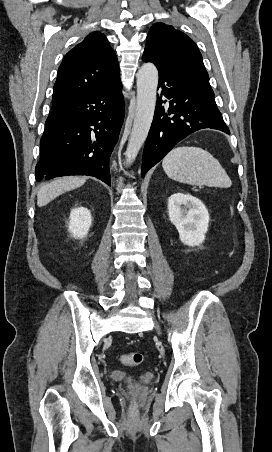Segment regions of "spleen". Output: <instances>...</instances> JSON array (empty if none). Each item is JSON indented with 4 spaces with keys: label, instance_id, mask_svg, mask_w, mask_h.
Wrapping results in <instances>:
<instances>
[{
    "label": "spleen",
    "instance_id": "obj_1",
    "mask_svg": "<svg viewBox=\"0 0 272 452\" xmlns=\"http://www.w3.org/2000/svg\"><path fill=\"white\" fill-rule=\"evenodd\" d=\"M162 167L169 178L181 183L223 188L232 185L219 161L202 148H174L163 159Z\"/></svg>",
    "mask_w": 272,
    "mask_h": 452
}]
</instances>
